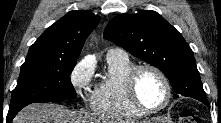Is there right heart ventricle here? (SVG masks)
I'll use <instances>...</instances> for the list:
<instances>
[{"label":"right heart ventricle","mask_w":221,"mask_h":123,"mask_svg":"<svg viewBox=\"0 0 221 123\" xmlns=\"http://www.w3.org/2000/svg\"><path fill=\"white\" fill-rule=\"evenodd\" d=\"M108 76L100 81L93 92L92 108L99 115L117 120L138 119L144 113L129 101L125 79L135 67L128 58L107 59Z\"/></svg>","instance_id":"obj_1"}]
</instances>
